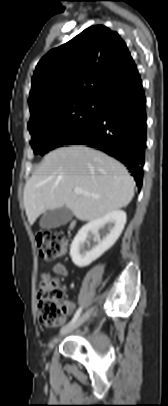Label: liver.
<instances>
[{
    "instance_id": "1",
    "label": "liver",
    "mask_w": 168,
    "mask_h": 406,
    "mask_svg": "<svg viewBox=\"0 0 168 406\" xmlns=\"http://www.w3.org/2000/svg\"><path fill=\"white\" fill-rule=\"evenodd\" d=\"M134 180L120 162L105 153L70 146L48 153L26 182L24 207L30 225L43 213L63 206L81 221H93L126 207ZM95 194H75L74 188Z\"/></svg>"
}]
</instances>
